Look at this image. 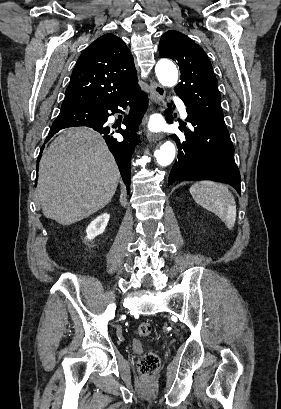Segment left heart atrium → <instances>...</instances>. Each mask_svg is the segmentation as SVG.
Wrapping results in <instances>:
<instances>
[{
  "label": "left heart atrium",
  "instance_id": "obj_1",
  "mask_svg": "<svg viewBox=\"0 0 281 409\" xmlns=\"http://www.w3.org/2000/svg\"><path fill=\"white\" fill-rule=\"evenodd\" d=\"M152 126L155 128V127H156V124H153Z\"/></svg>",
  "mask_w": 281,
  "mask_h": 409
}]
</instances>
